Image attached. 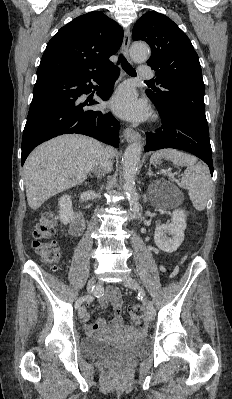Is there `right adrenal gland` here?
Segmentation results:
<instances>
[{
    "label": "right adrenal gland",
    "instance_id": "1",
    "mask_svg": "<svg viewBox=\"0 0 232 399\" xmlns=\"http://www.w3.org/2000/svg\"><path fill=\"white\" fill-rule=\"evenodd\" d=\"M91 172L92 174H94V176H96L98 182H100V180H102V176H104V174H102L101 170H99V168H92V170H89L88 174L89 176H91ZM91 178H93V176H91Z\"/></svg>",
    "mask_w": 232,
    "mask_h": 399
}]
</instances>
